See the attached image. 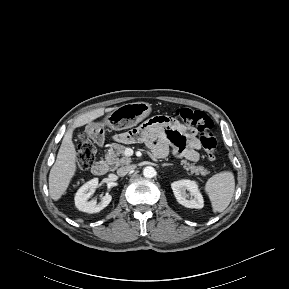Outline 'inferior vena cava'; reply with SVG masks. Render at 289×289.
<instances>
[{"label":"inferior vena cava","instance_id":"602c4592","mask_svg":"<svg viewBox=\"0 0 289 289\" xmlns=\"http://www.w3.org/2000/svg\"><path fill=\"white\" fill-rule=\"evenodd\" d=\"M134 168H135L134 165L121 167L117 170V175L120 177H123V176L127 175L129 172H131Z\"/></svg>","mask_w":289,"mask_h":289}]
</instances>
